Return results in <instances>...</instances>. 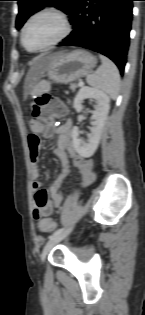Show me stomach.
<instances>
[{
  "label": "stomach",
  "instance_id": "obj_1",
  "mask_svg": "<svg viewBox=\"0 0 145 315\" xmlns=\"http://www.w3.org/2000/svg\"><path fill=\"white\" fill-rule=\"evenodd\" d=\"M96 66V58L88 51L74 50L61 53L53 59L42 76L56 83H71L88 76Z\"/></svg>",
  "mask_w": 145,
  "mask_h": 315
}]
</instances>
